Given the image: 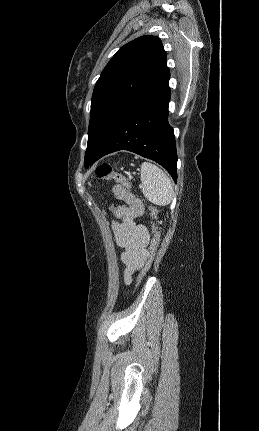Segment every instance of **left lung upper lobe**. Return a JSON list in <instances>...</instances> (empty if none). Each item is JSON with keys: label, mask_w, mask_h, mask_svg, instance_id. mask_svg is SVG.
I'll use <instances>...</instances> for the list:
<instances>
[{"label": "left lung upper lobe", "mask_w": 259, "mask_h": 431, "mask_svg": "<svg viewBox=\"0 0 259 431\" xmlns=\"http://www.w3.org/2000/svg\"><path fill=\"white\" fill-rule=\"evenodd\" d=\"M166 56L160 38L145 35L108 62L92 95L85 167L120 119L168 75Z\"/></svg>", "instance_id": "5c2ea615"}]
</instances>
